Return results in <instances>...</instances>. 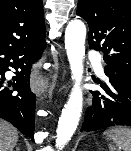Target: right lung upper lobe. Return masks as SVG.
I'll list each match as a JSON object with an SVG mask.
<instances>
[{
    "mask_svg": "<svg viewBox=\"0 0 131 151\" xmlns=\"http://www.w3.org/2000/svg\"><path fill=\"white\" fill-rule=\"evenodd\" d=\"M45 43L42 0H0V48Z\"/></svg>",
    "mask_w": 131,
    "mask_h": 151,
    "instance_id": "cb5924a9",
    "label": "right lung upper lobe"
}]
</instances>
